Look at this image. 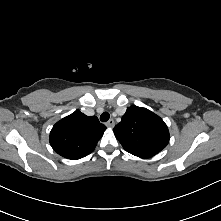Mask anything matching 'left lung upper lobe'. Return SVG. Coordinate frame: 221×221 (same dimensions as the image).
<instances>
[{"instance_id": "obj_1", "label": "left lung upper lobe", "mask_w": 221, "mask_h": 221, "mask_svg": "<svg viewBox=\"0 0 221 221\" xmlns=\"http://www.w3.org/2000/svg\"><path fill=\"white\" fill-rule=\"evenodd\" d=\"M114 134L123 148L140 158H150L169 142V131L164 121L146 108H127Z\"/></svg>"}]
</instances>
